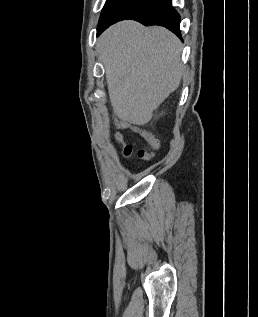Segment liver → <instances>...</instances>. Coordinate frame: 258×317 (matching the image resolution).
<instances>
[{
	"label": "liver",
	"instance_id": "1",
	"mask_svg": "<svg viewBox=\"0 0 258 317\" xmlns=\"http://www.w3.org/2000/svg\"><path fill=\"white\" fill-rule=\"evenodd\" d=\"M181 42L164 26L121 20L99 36L109 96L120 124H146L181 82Z\"/></svg>",
	"mask_w": 258,
	"mask_h": 317
}]
</instances>
